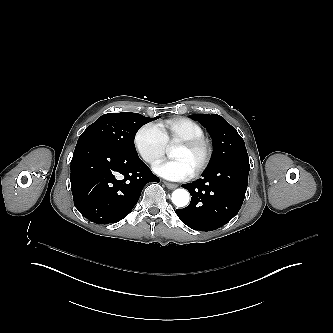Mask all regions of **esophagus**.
Wrapping results in <instances>:
<instances>
[{"label":"esophagus","instance_id":"esophagus-1","mask_svg":"<svg viewBox=\"0 0 333 333\" xmlns=\"http://www.w3.org/2000/svg\"><path fill=\"white\" fill-rule=\"evenodd\" d=\"M163 182H164V184L166 185V187H167L168 189H170V190H174V189H176V188L178 187L177 184L169 183V182H166V181H163Z\"/></svg>","mask_w":333,"mask_h":333}]
</instances>
